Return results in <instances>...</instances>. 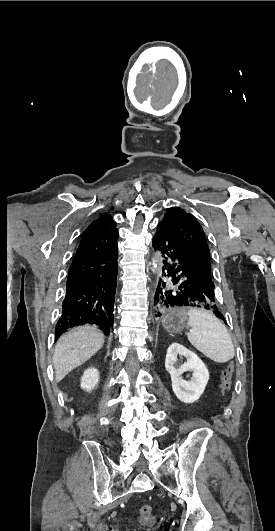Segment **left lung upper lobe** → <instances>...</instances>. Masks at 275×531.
Here are the masks:
<instances>
[{"instance_id":"1","label":"left lung upper lobe","mask_w":275,"mask_h":531,"mask_svg":"<svg viewBox=\"0 0 275 531\" xmlns=\"http://www.w3.org/2000/svg\"><path fill=\"white\" fill-rule=\"evenodd\" d=\"M177 241L192 276L201 289L214 297L211 279L210 252L203 228L198 221L180 207L170 208L162 222Z\"/></svg>"}]
</instances>
